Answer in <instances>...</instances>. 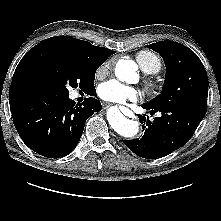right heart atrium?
Returning a JSON list of instances; mask_svg holds the SVG:
<instances>
[{
	"instance_id": "1",
	"label": "right heart atrium",
	"mask_w": 221,
	"mask_h": 221,
	"mask_svg": "<svg viewBox=\"0 0 221 221\" xmlns=\"http://www.w3.org/2000/svg\"><path fill=\"white\" fill-rule=\"evenodd\" d=\"M110 63L104 64L103 66H101L98 70V73H103L107 67H109Z\"/></svg>"
}]
</instances>
